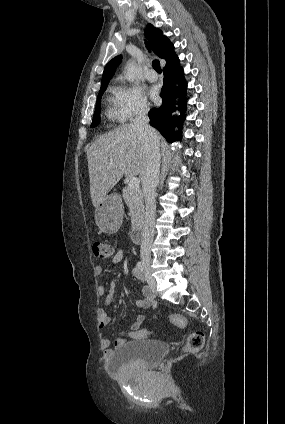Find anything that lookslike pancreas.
<instances>
[{"label":"pancreas","mask_w":285,"mask_h":424,"mask_svg":"<svg viewBox=\"0 0 285 424\" xmlns=\"http://www.w3.org/2000/svg\"><path fill=\"white\" fill-rule=\"evenodd\" d=\"M122 196L130 211L132 228H135L141 223L144 215L142 191L140 188L133 190L126 186L123 188Z\"/></svg>","instance_id":"1"}]
</instances>
